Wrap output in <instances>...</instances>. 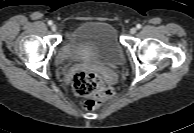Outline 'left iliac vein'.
Returning <instances> with one entry per match:
<instances>
[{
    "label": "left iliac vein",
    "mask_w": 194,
    "mask_h": 133,
    "mask_svg": "<svg viewBox=\"0 0 194 133\" xmlns=\"http://www.w3.org/2000/svg\"><path fill=\"white\" fill-rule=\"evenodd\" d=\"M136 31H137V29H136L135 27H133V28L130 29V33H131V34H135Z\"/></svg>",
    "instance_id": "left-iliac-vein-1"
}]
</instances>
